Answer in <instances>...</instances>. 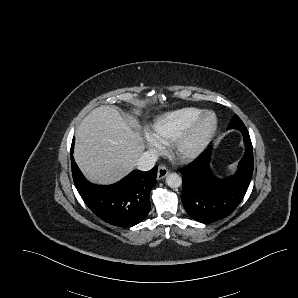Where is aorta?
Wrapping results in <instances>:
<instances>
[{"mask_svg":"<svg viewBox=\"0 0 298 298\" xmlns=\"http://www.w3.org/2000/svg\"><path fill=\"white\" fill-rule=\"evenodd\" d=\"M165 183L170 188H177L182 185V177L176 172H170L165 177Z\"/></svg>","mask_w":298,"mask_h":298,"instance_id":"1","label":"aorta"}]
</instances>
